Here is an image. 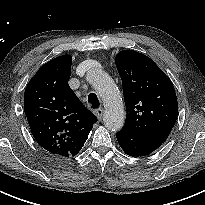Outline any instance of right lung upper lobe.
Instances as JSON below:
<instances>
[{
  "instance_id": "obj_1",
  "label": "right lung upper lobe",
  "mask_w": 205,
  "mask_h": 205,
  "mask_svg": "<svg viewBox=\"0 0 205 205\" xmlns=\"http://www.w3.org/2000/svg\"><path fill=\"white\" fill-rule=\"evenodd\" d=\"M71 63V55L45 63L24 94V111L35 140L62 157L75 156L81 150L97 121L69 87Z\"/></svg>"
}]
</instances>
